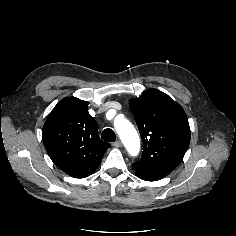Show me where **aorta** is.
<instances>
[{
    "instance_id": "obj_1",
    "label": "aorta",
    "mask_w": 236,
    "mask_h": 236,
    "mask_svg": "<svg viewBox=\"0 0 236 236\" xmlns=\"http://www.w3.org/2000/svg\"><path fill=\"white\" fill-rule=\"evenodd\" d=\"M115 129L130 155L136 156L140 149L139 136L133 125L126 119L116 122Z\"/></svg>"
}]
</instances>
